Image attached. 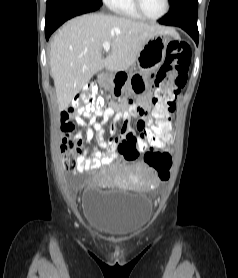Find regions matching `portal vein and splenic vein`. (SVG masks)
<instances>
[{"label":"portal vein and splenic vein","instance_id":"obj_1","mask_svg":"<svg viewBox=\"0 0 238 278\" xmlns=\"http://www.w3.org/2000/svg\"><path fill=\"white\" fill-rule=\"evenodd\" d=\"M110 45H111L110 42H104V43H103V49H104V51L108 52V51L110 50Z\"/></svg>","mask_w":238,"mask_h":278}]
</instances>
